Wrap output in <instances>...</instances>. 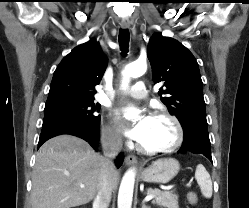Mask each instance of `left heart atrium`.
Listing matches in <instances>:
<instances>
[{
	"instance_id": "obj_1",
	"label": "left heart atrium",
	"mask_w": 249,
	"mask_h": 208,
	"mask_svg": "<svg viewBox=\"0 0 249 208\" xmlns=\"http://www.w3.org/2000/svg\"><path fill=\"white\" fill-rule=\"evenodd\" d=\"M115 119L126 137L140 143L146 134L150 116H142L136 123L129 124L124 120L123 111L118 110Z\"/></svg>"
}]
</instances>
